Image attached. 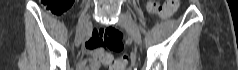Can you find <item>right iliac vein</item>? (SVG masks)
<instances>
[{
    "label": "right iliac vein",
    "mask_w": 238,
    "mask_h": 70,
    "mask_svg": "<svg viewBox=\"0 0 238 70\" xmlns=\"http://www.w3.org/2000/svg\"><path fill=\"white\" fill-rule=\"evenodd\" d=\"M90 24H91V21H90L89 15L85 16L79 21L77 31H76V36H75L76 46H79L82 43L85 33L87 29L89 28Z\"/></svg>",
    "instance_id": "right-iliac-vein-1"
}]
</instances>
